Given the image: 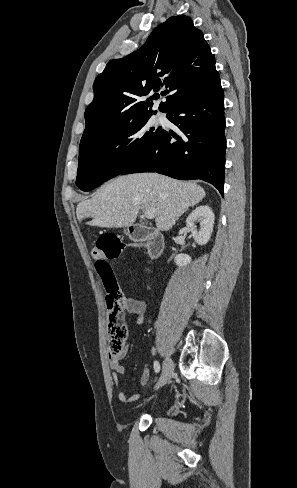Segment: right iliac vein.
<instances>
[{"label": "right iliac vein", "instance_id": "right-iliac-vein-1", "mask_svg": "<svg viewBox=\"0 0 297 488\" xmlns=\"http://www.w3.org/2000/svg\"><path fill=\"white\" fill-rule=\"evenodd\" d=\"M173 374V361L167 357L163 364L161 376L156 384V389L165 385Z\"/></svg>", "mask_w": 297, "mask_h": 488}]
</instances>
